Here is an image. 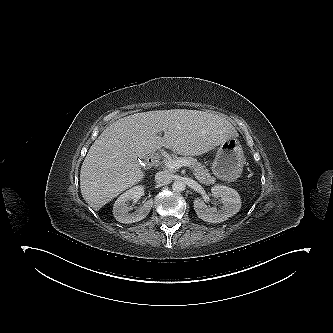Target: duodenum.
Segmentation results:
<instances>
[{
	"label": "duodenum",
	"mask_w": 333,
	"mask_h": 333,
	"mask_svg": "<svg viewBox=\"0 0 333 333\" xmlns=\"http://www.w3.org/2000/svg\"><path fill=\"white\" fill-rule=\"evenodd\" d=\"M159 159V156L158 155H154V156H151L147 162H146V168H151L153 165L156 164V162L158 161Z\"/></svg>",
	"instance_id": "1"
}]
</instances>
